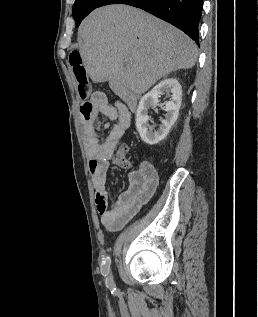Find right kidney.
Here are the masks:
<instances>
[{
  "label": "right kidney",
  "mask_w": 258,
  "mask_h": 317,
  "mask_svg": "<svg viewBox=\"0 0 258 317\" xmlns=\"http://www.w3.org/2000/svg\"><path fill=\"white\" fill-rule=\"evenodd\" d=\"M167 92L170 100H167L164 110H166L165 118H162V124H159L157 130L150 128L148 120V108L155 106L158 102V96ZM182 102V86L177 78H164L159 84H156L152 90L142 96L137 112H136V128L144 142L147 144H157L159 140L166 138L172 124L177 120L180 106Z\"/></svg>",
  "instance_id": "ca27d5eb"
}]
</instances>
